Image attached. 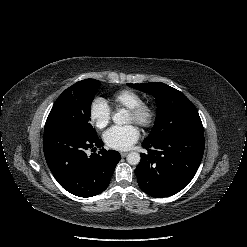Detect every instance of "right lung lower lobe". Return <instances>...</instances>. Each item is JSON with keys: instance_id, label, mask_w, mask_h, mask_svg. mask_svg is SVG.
Returning <instances> with one entry per match:
<instances>
[{"instance_id": "right-lung-lower-lobe-1", "label": "right lung lower lobe", "mask_w": 247, "mask_h": 247, "mask_svg": "<svg viewBox=\"0 0 247 247\" xmlns=\"http://www.w3.org/2000/svg\"><path fill=\"white\" fill-rule=\"evenodd\" d=\"M43 144L46 162L55 179L65 190L79 197L103 192L121 159L117 151L105 150L97 135L88 136L75 129L46 130ZM93 147L102 149L88 156V149Z\"/></svg>"}]
</instances>
